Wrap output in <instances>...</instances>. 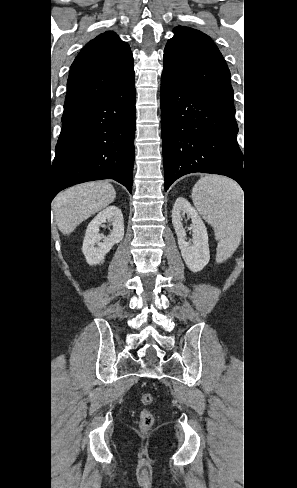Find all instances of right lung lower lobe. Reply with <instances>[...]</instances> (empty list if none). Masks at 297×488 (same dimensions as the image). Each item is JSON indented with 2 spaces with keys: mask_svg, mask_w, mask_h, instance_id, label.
Instances as JSON below:
<instances>
[{
  "mask_svg": "<svg viewBox=\"0 0 297 488\" xmlns=\"http://www.w3.org/2000/svg\"><path fill=\"white\" fill-rule=\"evenodd\" d=\"M134 75L120 85L62 116L52 164L50 198L87 181L113 179L131 193L135 136Z\"/></svg>",
  "mask_w": 297,
  "mask_h": 488,
  "instance_id": "right-lung-lower-lobe-1",
  "label": "right lung lower lobe"
}]
</instances>
